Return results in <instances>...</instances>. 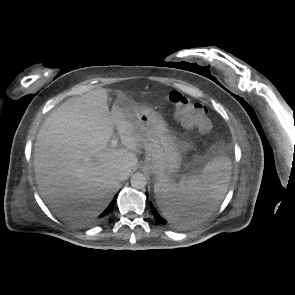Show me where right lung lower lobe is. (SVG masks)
Here are the masks:
<instances>
[{"mask_svg":"<svg viewBox=\"0 0 295 295\" xmlns=\"http://www.w3.org/2000/svg\"><path fill=\"white\" fill-rule=\"evenodd\" d=\"M112 208H113V204L111 203L108 208L104 211L103 215L102 216H105L107 214H109L111 211H112Z\"/></svg>","mask_w":295,"mask_h":295,"instance_id":"right-lung-lower-lobe-1","label":"right lung lower lobe"}]
</instances>
